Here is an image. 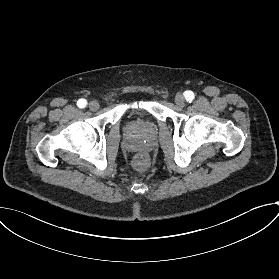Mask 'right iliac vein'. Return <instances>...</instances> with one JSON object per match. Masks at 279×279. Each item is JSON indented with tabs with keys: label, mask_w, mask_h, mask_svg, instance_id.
Segmentation results:
<instances>
[{
	"label": "right iliac vein",
	"mask_w": 279,
	"mask_h": 279,
	"mask_svg": "<svg viewBox=\"0 0 279 279\" xmlns=\"http://www.w3.org/2000/svg\"><path fill=\"white\" fill-rule=\"evenodd\" d=\"M88 106L90 110L96 111L99 108V103L96 100H93L89 102Z\"/></svg>",
	"instance_id": "63e3f726"
}]
</instances>
